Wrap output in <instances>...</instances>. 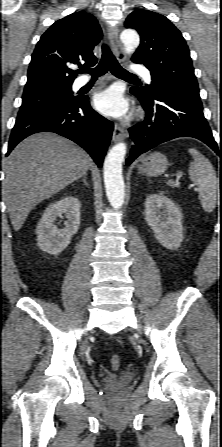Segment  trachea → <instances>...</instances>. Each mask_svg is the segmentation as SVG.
<instances>
[{"instance_id":"trachea-1","label":"trachea","mask_w":222,"mask_h":447,"mask_svg":"<svg viewBox=\"0 0 222 447\" xmlns=\"http://www.w3.org/2000/svg\"><path fill=\"white\" fill-rule=\"evenodd\" d=\"M108 70L119 78H137L136 75L129 73L120 66L110 48L105 44L102 46V58L99 64L93 69L81 67L77 72L89 73L92 78H98L104 75Z\"/></svg>"}]
</instances>
